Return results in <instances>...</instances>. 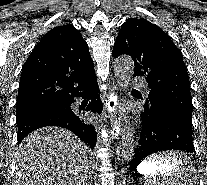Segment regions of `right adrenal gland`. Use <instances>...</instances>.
<instances>
[{
	"instance_id": "1",
	"label": "right adrenal gland",
	"mask_w": 207,
	"mask_h": 185,
	"mask_svg": "<svg viewBox=\"0 0 207 185\" xmlns=\"http://www.w3.org/2000/svg\"><path fill=\"white\" fill-rule=\"evenodd\" d=\"M83 185H89V181H85V183H83Z\"/></svg>"
}]
</instances>
